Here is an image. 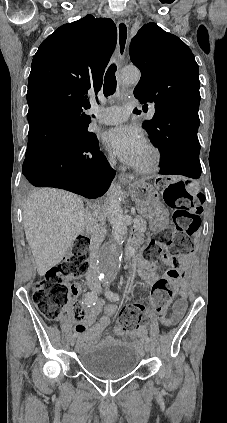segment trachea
<instances>
[{
    "label": "trachea",
    "mask_w": 227,
    "mask_h": 423,
    "mask_svg": "<svg viewBox=\"0 0 227 423\" xmlns=\"http://www.w3.org/2000/svg\"><path fill=\"white\" fill-rule=\"evenodd\" d=\"M115 72H116V65L113 63L108 68L105 74L104 85H103V92L105 97L113 95L114 92L116 91L117 82H116Z\"/></svg>",
    "instance_id": "trachea-1"
}]
</instances>
